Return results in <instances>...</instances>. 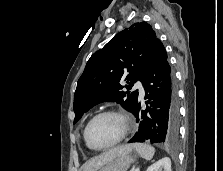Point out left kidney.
Returning a JSON list of instances; mask_svg holds the SVG:
<instances>
[{"label": "left kidney", "mask_w": 223, "mask_h": 171, "mask_svg": "<svg viewBox=\"0 0 223 171\" xmlns=\"http://www.w3.org/2000/svg\"><path fill=\"white\" fill-rule=\"evenodd\" d=\"M146 171H171V160L168 157L162 158L152 164Z\"/></svg>", "instance_id": "left-kidney-1"}]
</instances>
